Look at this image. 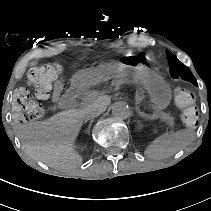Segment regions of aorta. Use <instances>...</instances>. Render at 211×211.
Listing matches in <instances>:
<instances>
[{
	"label": "aorta",
	"mask_w": 211,
	"mask_h": 211,
	"mask_svg": "<svg viewBox=\"0 0 211 211\" xmlns=\"http://www.w3.org/2000/svg\"><path fill=\"white\" fill-rule=\"evenodd\" d=\"M112 114L116 119L124 120L130 116L131 110L127 103L120 101L113 105Z\"/></svg>",
	"instance_id": "1"
}]
</instances>
